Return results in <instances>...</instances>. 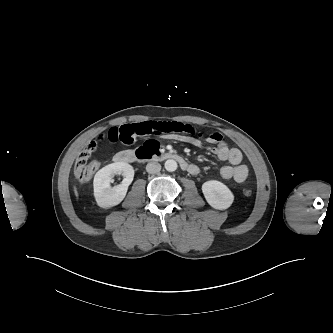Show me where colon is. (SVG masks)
Wrapping results in <instances>:
<instances>
[{"instance_id":"5ec220e1","label":"colon","mask_w":333,"mask_h":333,"mask_svg":"<svg viewBox=\"0 0 333 333\" xmlns=\"http://www.w3.org/2000/svg\"><path fill=\"white\" fill-rule=\"evenodd\" d=\"M96 150V144H89L78 156L74 165V176L80 183L89 182L98 171L100 164L96 160L90 161L92 153ZM245 196H251L252 191L244 189Z\"/></svg>"}]
</instances>
